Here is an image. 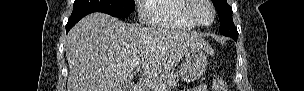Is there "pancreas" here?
Returning a JSON list of instances; mask_svg holds the SVG:
<instances>
[{
    "label": "pancreas",
    "instance_id": "pancreas-1",
    "mask_svg": "<svg viewBox=\"0 0 304 91\" xmlns=\"http://www.w3.org/2000/svg\"><path fill=\"white\" fill-rule=\"evenodd\" d=\"M178 84V73L167 72L152 80L148 85V91H160V88H174Z\"/></svg>",
    "mask_w": 304,
    "mask_h": 91
}]
</instances>
